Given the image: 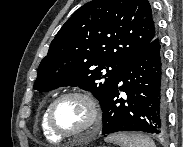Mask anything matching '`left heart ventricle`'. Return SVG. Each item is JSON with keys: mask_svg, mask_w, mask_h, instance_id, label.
I'll use <instances>...</instances> for the list:
<instances>
[{"mask_svg": "<svg viewBox=\"0 0 183 147\" xmlns=\"http://www.w3.org/2000/svg\"><path fill=\"white\" fill-rule=\"evenodd\" d=\"M90 120V110L84 100L69 97L60 101L53 112L55 126L63 132L84 128Z\"/></svg>", "mask_w": 183, "mask_h": 147, "instance_id": "left-heart-ventricle-1", "label": "left heart ventricle"}]
</instances>
